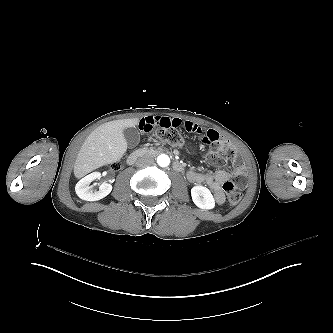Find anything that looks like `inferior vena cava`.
Masks as SVG:
<instances>
[{
	"mask_svg": "<svg viewBox=\"0 0 333 333\" xmlns=\"http://www.w3.org/2000/svg\"><path fill=\"white\" fill-rule=\"evenodd\" d=\"M154 163V158L151 155H143L136 161V166L139 168L152 165Z\"/></svg>",
	"mask_w": 333,
	"mask_h": 333,
	"instance_id": "inferior-vena-cava-1",
	"label": "inferior vena cava"
}]
</instances>
